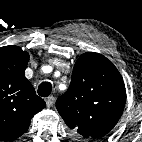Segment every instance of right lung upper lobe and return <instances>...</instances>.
Returning <instances> with one entry per match:
<instances>
[{
  "mask_svg": "<svg viewBox=\"0 0 142 142\" xmlns=\"http://www.w3.org/2000/svg\"><path fill=\"white\" fill-rule=\"evenodd\" d=\"M28 60L29 53L18 46L0 48V140L20 137L46 106L25 77Z\"/></svg>",
  "mask_w": 142,
  "mask_h": 142,
  "instance_id": "obj_1",
  "label": "right lung upper lobe"
}]
</instances>
